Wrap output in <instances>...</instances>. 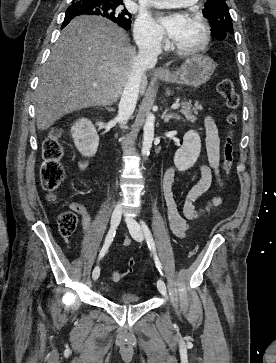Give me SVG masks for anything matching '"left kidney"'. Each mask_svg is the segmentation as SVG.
I'll return each instance as SVG.
<instances>
[{"mask_svg": "<svg viewBox=\"0 0 276 363\" xmlns=\"http://www.w3.org/2000/svg\"><path fill=\"white\" fill-rule=\"evenodd\" d=\"M201 152V139L197 132L190 130L183 137L182 146L174 155V164L179 171L192 167Z\"/></svg>", "mask_w": 276, "mask_h": 363, "instance_id": "1", "label": "left kidney"}]
</instances>
